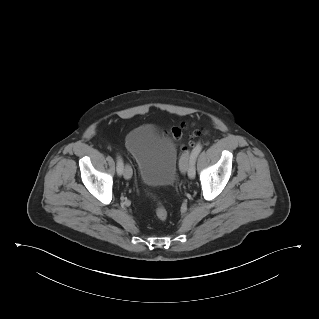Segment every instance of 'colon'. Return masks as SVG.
I'll return each instance as SVG.
<instances>
[{"label":"colon","mask_w":319,"mask_h":319,"mask_svg":"<svg viewBox=\"0 0 319 319\" xmlns=\"http://www.w3.org/2000/svg\"><path fill=\"white\" fill-rule=\"evenodd\" d=\"M185 129V126H180V127H174L171 130V135L174 138H180L183 134V130ZM187 148H184V150H186ZM149 196L154 199V201L156 202V207H155V215L156 217L161 220L164 221L168 218V210L166 209V207L164 206V204L158 200L153 194L149 193Z\"/></svg>","instance_id":"colon-1"}]
</instances>
